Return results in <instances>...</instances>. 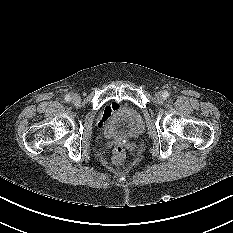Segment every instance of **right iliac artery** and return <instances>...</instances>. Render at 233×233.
<instances>
[{
    "label": "right iliac artery",
    "mask_w": 233,
    "mask_h": 233,
    "mask_svg": "<svg viewBox=\"0 0 233 233\" xmlns=\"http://www.w3.org/2000/svg\"><path fill=\"white\" fill-rule=\"evenodd\" d=\"M65 100H66V101H70V100H71V96H70V95H66V96H65Z\"/></svg>",
    "instance_id": "obj_1"
}]
</instances>
